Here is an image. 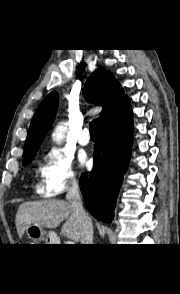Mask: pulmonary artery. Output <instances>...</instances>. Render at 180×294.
I'll list each match as a JSON object with an SVG mask.
<instances>
[{"label": "pulmonary artery", "instance_id": "obj_1", "mask_svg": "<svg viewBox=\"0 0 180 294\" xmlns=\"http://www.w3.org/2000/svg\"><path fill=\"white\" fill-rule=\"evenodd\" d=\"M78 142L81 145H88L90 143V136L88 128H84L78 136Z\"/></svg>", "mask_w": 180, "mask_h": 294}]
</instances>
